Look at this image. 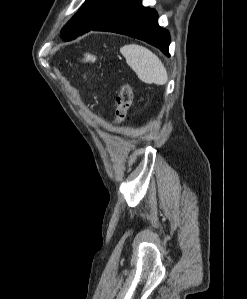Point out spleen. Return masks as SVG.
I'll return each mask as SVG.
<instances>
[{
    "label": "spleen",
    "mask_w": 247,
    "mask_h": 299,
    "mask_svg": "<svg viewBox=\"0 0 247 299\" xmlns=\"http://www.w3.org/2000/svg\"><path fill=\"white\" fill-rule=\"evenodd\" d=\"M120 52L142 82L156 85L167 83L168 74L164 64L146 47L129 44L121 47Z\"/></svg>",
    "instance_id": "spleen-1"
}]
</instances>
